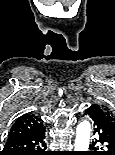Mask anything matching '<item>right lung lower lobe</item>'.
<instances>
[{"instance_id":"98d812e1","label":"right lung lower lobe","mask_w":115,"mask_h":155,"mask_svg":"<svg viewBox=\"0 0 115 155\" xmlns=\"http://www.w3.org/2000/svg\"><path fill=\"white\" fill-rule=\"evenodd\" d=\"M46 148L44 128L34 134L7 141L0 155H51Z\"/></svg>"}]
</instances>
